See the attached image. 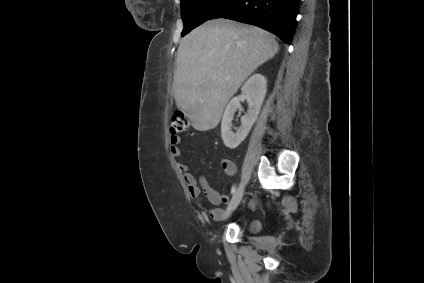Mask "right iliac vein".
<instances>
[{"label": "right iliac vein", "instance_id": "right-iliac-vein-1", "mask_svg": "<svg viewBox=\"0 0 424 283\" xmlns=\"http://www.w3.org/2000/svg\"><path fill=\"white\" fill-rule=\"evenodd\" d=\"M244 194V186L240 185L235 194L233 195L225 213V218H227L239 205Z\"/></svg>", "mask_w": 424, "mask_h": 283}]
</instances>
